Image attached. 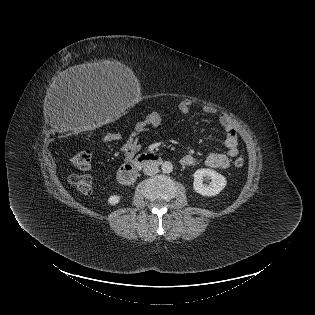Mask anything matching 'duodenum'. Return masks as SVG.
I'll list each match as a JSON object with an SVG mask.
<instances>
[{
    "label": "duodenum",
    "instance_id": "duodenum-1",
    "mask_svg": "<svg viewBox=\"0 0 315 315\" xmlns=\"http://www.w3.org/2000/svg\"><path fill=\"white\" fill-rule=\"evenodd\" d=\"M162 163V158L155 153H143L134 161L125 163L121 166L117 173V179L124 186L131 185L137 177L138 170L148 164L159 165Z\"/></svg>",
    "mask_w": 315,
    "mask_h": 315
}]
</instances>
